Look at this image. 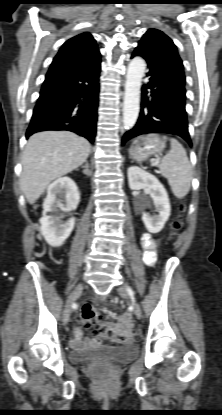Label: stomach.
<instances>
[{"label":"stomach","mask_w":222,"mask_h":415,"mask_svg":"<svg viewBox=\"0 0 222 415\" xmlns=\"http://www.w3.org/2000/svg\"><path fill=\"white\" fill-rule=\"evenodd\" d=\"M166 147V138L159 136L138 137L129 149V156L141 162L151 156L160 154Z\"/></svg>","instance_id":"obj_1"}]
</instances>
